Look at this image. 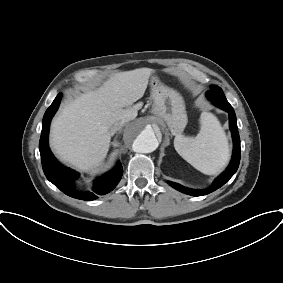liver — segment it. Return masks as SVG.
Wrapping results in <instances>:
<instances>
[{"label": "liver", "mask_w": 283, "mask_h": 283, "mask_svg": "<svg viewBox=\"0 0 283 283\" xmlns=\"http://www.w3.org/2000/svg\"><path fill=\"white\" fill-rule=\"evenodd\" d=\"M153 70L139 68L116 73L94 91L63 107L53 120L50 144L58 156L81 171H92L104 161L110 146L111 126L137 117Z\"/></svg>", "instance_id": "liver-1"}]
</instances>
